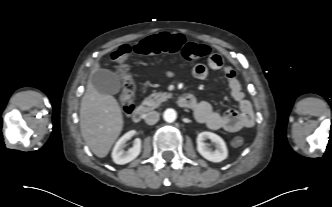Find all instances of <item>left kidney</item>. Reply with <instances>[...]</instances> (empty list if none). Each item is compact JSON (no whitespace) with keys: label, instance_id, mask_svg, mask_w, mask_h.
I'll return each instance as SVG.
<instances>
[{"label":"left kidney","instance_id":"5707ae66","mask_svg":"<svg viewBox=\"0 0 332 207\" xmlns=\"http://www.w3.org/2000/svg\"><path fill=\"white\" fill-rule=\"evenodd\" d=\"M206 139H210L215 144V150L212 151L205 143ZM197 150L201 156L211 162H221L228 156V151L224 140L215 133L201 132L197 136Z\"/></svg>","mask_w":332,"mask_h":207}]
</instances>
